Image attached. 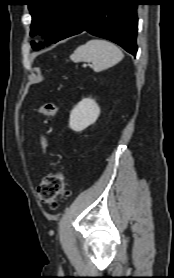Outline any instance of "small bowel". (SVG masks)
I'll list each match as a JSON object with an SVG mask.
<instances>
[{"label":"small bowel","mask_w":174,"mask_h":278,"mask_svg":"<svg viewBox=\"0 0 174 278\" xmlns=\"http://www.w3.org/2000/svg\"><path fill=\"white\" fill-rule=\"evenodd\" d=\"M41 143H42V147L46 150L47 140H46V137L44 135L41 136Z\"/></svg>","instance_id":"small-bowel-1"}]
</instances>
